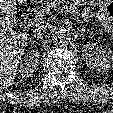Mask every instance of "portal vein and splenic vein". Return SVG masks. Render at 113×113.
<instances>
[{
    "label": "portal vein and splenic vein",
    "instance_id": "obj_1",
    "mask_svg": "<svg viewBox=\"0 0 113 113\" xmlns=\"http://www.w3.org/2000/svg\"><path fill=\"white\" fill-rule=\"evenodd\" d=\"M55 8H56V6H55ZM40 19H41L40 16H35V17H33V18L31 19V23H32L33 25H34V24H37Z\"/></svg>",
    "mask_w": 113,
    "mask_h": 113
}]
</instances>
